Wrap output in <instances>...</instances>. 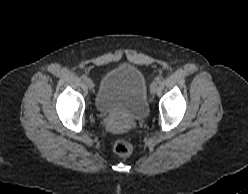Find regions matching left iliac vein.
<instances>
[{
    "mask_svg": "<svg viewBox=\"0 0 248 194\" xmlns=\"http://www.w3.org/2000/svg\"><path fill=\"white\" fill-rule=\"evenodd\" d=\"M150 90L152 93H156L159 90L158 84L156 82H153L150 86Z\"/></svg>",
    "mask_w": 248,
    "mask_h": 194,
    "instance_id": "obj_1",
    "label": "left iliac vein"
}]
</instances>
